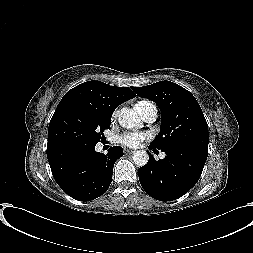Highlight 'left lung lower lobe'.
<instances>
[{"label": "left lung lower lobe", "instance_id": "0a47b994", "mask_svg": "<svg viewBox=\"0 0 253 253\" xmlns=\"http://www.w3.org/2000/svg\"><path fill=\"white\" fill-rule=\"evenodd\" d=\"M156 151V148L149 146ZM163 160L149 155L146 165L138 169L142 188L153 198L172 201L187 193L199 180L208 153L188 147L162 150Z\"/></svg>", "mask_w": 253, "mask_h": 253}]
</instances>
